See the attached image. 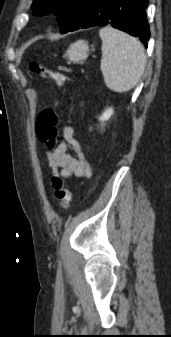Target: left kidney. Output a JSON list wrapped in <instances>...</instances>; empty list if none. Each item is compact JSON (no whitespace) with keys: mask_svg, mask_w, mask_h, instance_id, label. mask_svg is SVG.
Instances as JSON below:
<instances>
[{"mask_svg":"<svg viewBox=\"0 0 171 337\" xmlns=\"http://www.w3.org/2000/svg\"><path fill=\"white\" fill-rule=\"evenodd\" d=\"M112 115H113V109L109 108L101 115L99 120L103 123L104 121L109 120Z\"/></svg>","mask_w":171,"mask_h":337,"instance_id":"obj_1","label":"left kidney"}]
</instances>
